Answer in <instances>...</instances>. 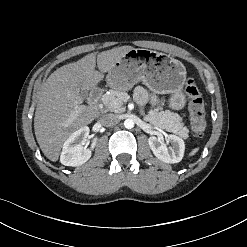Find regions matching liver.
I'll return each mask as SVG.
<instances>
[{"label":"liver","mask_w":247,"mask_h":247,"mask_svg":"<svg viewBox=\"0 0 247 247\" xmlns=\"http://www.w3.org/2000/svg\"><path fill=\"white\" fill-rule=\"evenodd\" d=\"M132 46H121L107 51L90 53L77 62L58 68L43 83L37 103L34 130L44 155L58 160L66 139L77 129L90 124L97 116L95 108L82 105L80 90L95 88L115 63ZM99 71L95 70V67Z\"/></svg>","instance_id":"liver-1"}]
</instances>
